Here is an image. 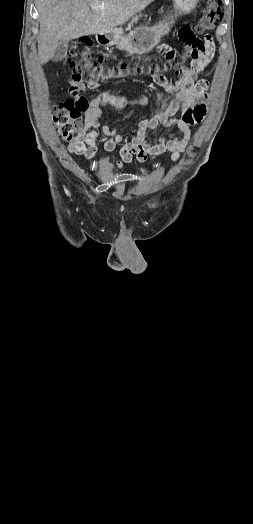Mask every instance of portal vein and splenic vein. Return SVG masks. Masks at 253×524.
Wrapping results in <instances>:
<instances>
[{
  "label": "portal vein and splenic vein",
  "mask_w": 253,
  "mask_h": 524,
  "mask_svg": "<svg viewBox=\"0 0 253 524\" xmlns=\"http://www.w3.org/2000/svg\"><path fill=\"white\" fill-rule=\"evenodd\" d=\"M91 8H92V9H96V8H98V6L95 5V4H92V5H91Z\"/></svg>",
  "instance_id": "1"
}]
</instances>
